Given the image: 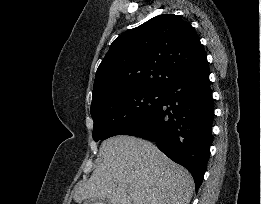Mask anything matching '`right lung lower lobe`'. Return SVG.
<instances>
[{"instance_id": "right-lung-lower-lobe-1", "label": "right lung lower lobe", "mask_w": 261, "mask_h": 204, "mask_svg": "<svg viewBox=\"0 0 261 204\" xmlns=\"http://www.w3.org/2000/svg\"><path fill=\"white\" fill-rule=\"evenodd\" d=\"M213 118L214 102L205 59L165 88L160 102L121 135L155 142L164 154L191 172L198 190L207 169Z\"/></svg>"}]
</instances>
